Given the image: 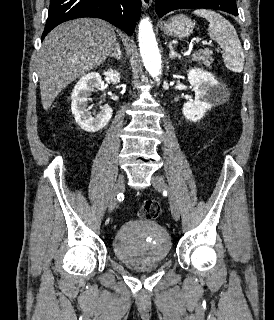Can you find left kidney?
<instances>
[{"label": "left kidney", "instance_id": "1", "mask_svg": "<svg viewBox=\"0 0 274 320\" xmlns=\"http://www.w3.org/2000/svg\"><path fill=\"white\" fill-rule=\"evenodd\" d=\"M187 78L195 92V98L183 104L182 114L189 122H198L207 110L225 102L224 92L215 76L200 68L188 70Z\"/></svg>", "mask_w": 274, "mask_h": 320}]
</instances>
